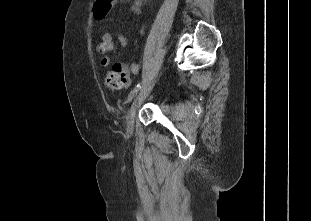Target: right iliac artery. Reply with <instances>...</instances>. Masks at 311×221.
Masks as SVG:
<instances>
[{
    "mask_svg": "<svg viewBox=\"0 0 311 221\" xmlns=\"http://www.w3.org/2000/svg\"><path fill=\"white\" fill-rule=\"evenodd\" d=\"M139 89H140V84H137L135 88L129 93L127 102H130L136 96Z\"/></svg>",
    "mask_w": 311,
    "mask_h": 221,
    "instance_id": "1",
    "label": "right iliac artery"
}]
</instances>
